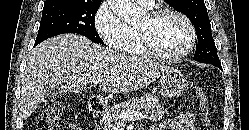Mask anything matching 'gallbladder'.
Instances as JSON below:
<instances>
[{
  "label": "gallbladder",
  "instance_id": "gallbladder-1",
  "mask_svg": "<svg viewBox=\"0 0 249 130\" xmlns=\"http://www.w3.org/2000/svg\"><path fill=\"white\" fill-rule=\"evenodd\" d=\"M43 93L46 97L51 98V97H56V96H62L65 93H67V91L64 88H62L61 86L49 85V86L45 87Z\"/></svg>",
  "mask_w": 249,
  "mask_h": 130
}]
</instances>
